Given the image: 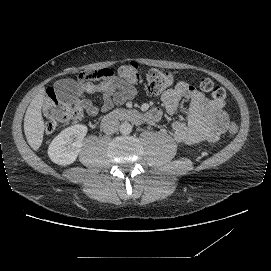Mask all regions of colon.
<instances>
[{
	"mask_svg": "<svg viewBox=\"0 0 271 271\" xmlns=\"http://www.w3.org/2000/svg\"><path fill=\"white\" fill-rule=\"evenodd\" d=\"M119 78L129 86L136 85L140 82L139 66L135 62L124 64L118 69ZM174 76L170 72L159 69H150L146 75V86L151 94L157 95L170 88L174 83ZM201 90L211 94L214 100L223 101L225 90L215 85L210 79H202L200 82ZM80 107L69 105L61 102L55 92L49 89L45 95L43 106L44 128L47 133L53 132L57 126L72 121L79 120L82 117ZM230 135L238 132V126L231 123L228 128Z\"/></svg>",
	"mask_w": 271,
	"mask_h": 271,
	"instance_id": "5ec220e1",
	"label": "colon"
}]
</instances>
